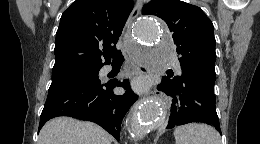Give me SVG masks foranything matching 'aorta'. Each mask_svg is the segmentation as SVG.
I'll list each match as a JSON object with an SVG mask.
<instances>
[{
    "mask_svg": "<svg viewBox=\"0 0 260 144\" xmlns=\"http://www.w3.org/2000/svg\"><path fill=\"white\" fill-rule=\"evenodd\" d=\"M135 33L142 44L152 45V48L138 51L141 62L161 64L163 56L171 49L172 42L161 32L157 21L151 17L142 18L135 25ZM164 122L163 104L150 98L138 102L133 107L128 119V128L135 140H141L150 130L163 125Z\"/></svg>",
    "mask_w": 260,
    "mask_h": 144,
    "instance_id": "762f6f07",
    "label": "aorta"
}]
</instances>
